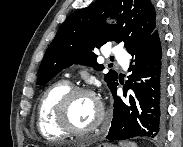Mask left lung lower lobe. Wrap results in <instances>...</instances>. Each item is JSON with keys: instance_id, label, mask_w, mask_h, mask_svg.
Segmentation results:
<instances>
[{"instance_id": "obj_1", "label": "left lung lower lobe", "mask_w": 183, "mask_h": 147, "mask_svg": "<svg viewBox=\"0 0 183 147\" xmlns=\"http://www.w3.org/2000/svg\"><path fill=\"white\" fill-rule=\"evenodd\" d=\"M129 53L133 57L129 71L133 72L128 76L125 90L132 89L133 95L126 99L117 97L118 81L111 89L114 111L112 124L106 136L109 140L136 136L155 138L164 132L166 61L160 27Z\"/></svg>"}]
</instances>
